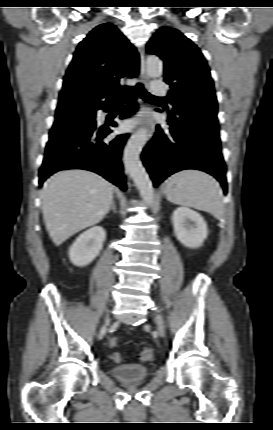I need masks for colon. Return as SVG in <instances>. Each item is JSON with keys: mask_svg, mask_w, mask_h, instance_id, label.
Returning a JSON list of instances; mask_svg holds the SVG:
<instances>
[{"mask_svg": "<svg viewBox=\"0 0 273 430\" xmlns=\"http://www.w3.org/2000/svg\"><path fill=\"white\" fill-rule=\"evenodd\" d=\"M117 342H118V339L117 338H111L110 340H109V345L111 346V347H114L116 344H117ZM154 354H155V351H154V349H152V348H145V349H143L142 351H140L138 354H137V359L138 360H140V361H150V360H152L153 359V357H154ZM111 358L113 359V361H115L116 363H121L122 362V360H123V357H122V355L119 353V352H115V353H113L112 355H111Z\"/></svg>", "mask_w": 273, "mask_h": 430, "instance_id": "1", "label": "colon"}]
</instances>
